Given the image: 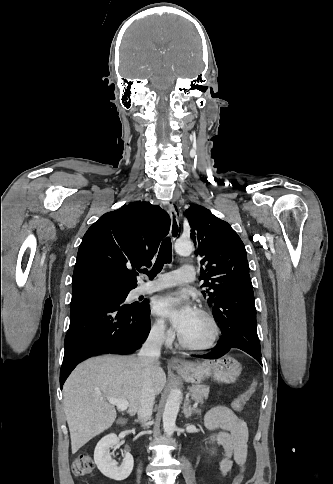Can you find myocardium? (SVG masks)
<instances>
[{"label": "myocardium", "mask_w": 333, "mask_h": 484, "mask_svg": "<svg viewBox=\"0 0 333 484\" xmlns=\"http://www.w3.org/2000/svg\"><path fill=\"white\" fill-rule=\"evenodd\" d=\"M196 312H198L199 314L204 316L208 320V322L210 323L211 328H212V334H211L210 339L204 344L196 345V344H191V343L187 342L186 340H184L183 337L179 333L178 334V342L184 349H187V350H190V351H195V352H206V351L212 349L215 346V344H216V342H217V340L220 336V327H219V324H218L216 318L208 310H206L204 308H198V309H196Z\"/></svg>", "instance_id": "1"}]
</instances>
